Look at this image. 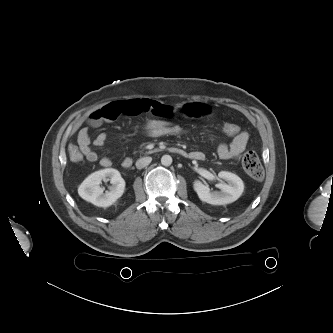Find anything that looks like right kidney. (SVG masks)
I'll return each instance as SVG.
<instances>
[{
    "mask_svg": "<svg viewBox=\"0 0 333 333\" xmlns=\"http://www.w3.org/2000/svg\"><path fill=\"white\" fill-rule=\"evenodd\" d=\"M109 179L112 187L104 193L99 186L102 180ZM125 181L118 170L107 168L90 174L79 186L78 194L84 200L98 207L113 205L124 193Z\"/></svg>",
    "mask_w": 333,
    "mask_h": 333,
    "instance_id": "ca27d5eb",
    "label": "right kidney"
}]
</instances>
